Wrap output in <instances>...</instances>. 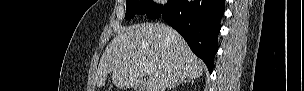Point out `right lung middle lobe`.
<instances>
[{
  "label": "right lung middle lobe",
  "mask_w": 304,
  "mask_h": 91,
  "mask_svg": "<svg viewBox=\"0 0 304 91\" xmlns=\"http://www.w3.org/2000/svg\"><path fill=\"white\" fill-rule=\"evenodd\" d=\"M166 5L155 4L152 0H127L125 18L130 20L136 14H146L147 17L156 19L160 17Z\"/></svg>",
  "instance_id": "obj_1"
}]
</instances>
